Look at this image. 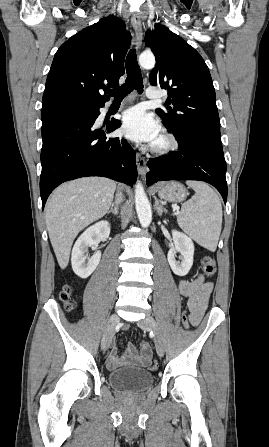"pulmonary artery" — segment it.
I'll list each match as a JSON object with an SVG mask.
<instances>
[{"label":"pulmonary artery","mask_w":269,"mask_h":447,"mask_svg":"<svg viewBox=\"0 0 269 447\" xmlns=\"http://www.w3.org/2000/svg\"><path fill=\"white\" fill-rule=\"evenodd\" d=\"M145 94L148 98H161L163 96V93L161 91L156 92L152 87L147 88ZM127 102H128L127 99H124L122 101L123 104ZM108 107L109 105L106 106V109Z\"/></svg>","instance_id":"1"}]
</instances>
